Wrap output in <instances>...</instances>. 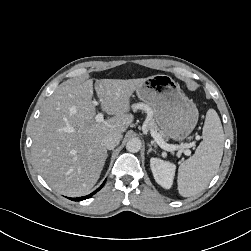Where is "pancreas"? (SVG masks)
<instances>
[{"label": "pancreas", "mask_w": 251, "mask_h": 251, "mask_svg": "<svg viewBox=\"0 0 251 251\" xmlns=\"http://www.w3.org/2000/svg\"><path fill=\"white\" fill-rule=\"evenodd\" d=\"M134 109H142L147 113V118L144 122V125L148 128L150 132L151 131L156 132L159 135V137L165 142V140H167V136L157 125L156 120L153 117L154 113L152 108H150L148 105L145 104H137L134 106Z\"/></svg>", "instance_id": "cf45deb5"}]
</instances>
